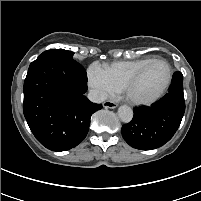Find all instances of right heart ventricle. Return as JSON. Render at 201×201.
<instances>
[{"instance_id":"obj_1","label":"right heart ventricle","mask_w":201,"mask_h":201,"mask_svg":"<svg viewBox=\"0 0 201 201\" xmlns=\"http://www.w3.org/2000/svg\"><path fill=\"white\" fill-rule=\"evenodd\" d=\"M151 57H146L137 60L117 61L110 65H106L104 69L116 86L118 91L123 89L125 82L144 64L152 60Z\"/></svg>"}]
</instances>
